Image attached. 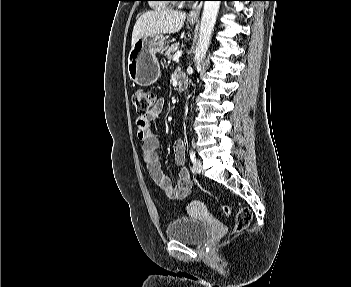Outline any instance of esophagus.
<instances>
[{"label":"esophagus","instance_id":"esophagus-1","mask_svg":"<svg viewBox=\"0 0 351 287\" xmlns=\"http://www.w3.org/2000/svg\"><path fill=\"white\" fill-rule=\"evenodd\" d=\"M202 0H195L192 6V9L189 13V19H197L200 14V10L202 7Z\"/></svg>","mask_w":351,"mask_h":287}]
</instances>
